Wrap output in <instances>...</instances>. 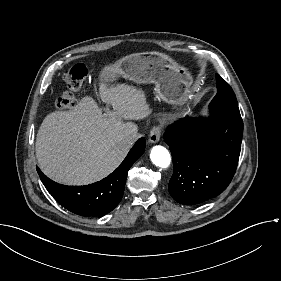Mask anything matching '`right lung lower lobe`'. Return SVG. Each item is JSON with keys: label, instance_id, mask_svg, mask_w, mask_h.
<instances>
[{"label": "right lung lower lobe", "instance_id": "98d812e1", "mask_svg": "<svg viewBox=\"0 0 281 281\" xmlns=\"http://www.w3.org/2000/svg\"><path fill=\"white\" fill-rule=\"evenodd\" d=\"M145 139L140 138L121 165L108 177L86 186H66L46 177L39 168L38 174L48 192L66 209L82 216H102L120 202L133 163L145 150Z\"/></svg>", "mask_w": 281, "mask_h": 281}]
</instances>
